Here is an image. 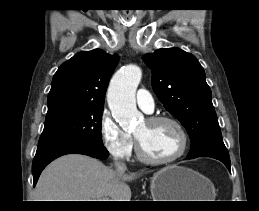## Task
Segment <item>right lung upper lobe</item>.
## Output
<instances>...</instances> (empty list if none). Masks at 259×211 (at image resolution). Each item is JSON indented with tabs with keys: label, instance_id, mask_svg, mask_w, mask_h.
Segmentation results:
<instances>
[{
	"label": "right lung upper lobe",
	"instance_id": "right-lung-upper-lobe-1",
	"mask_svg": "<svg viewBox=\"0 0 259 211\" xmlns=\"http://www.w3.org/2000/svg\"><path fill=\"white\" fill-rule=\"evenodd\" d=\"M117 62L116 54L101 49L77 53L64 62L52 80L46 121L83 108L103 107Z\"/></svg>",
	"mask_w": 259,
	"mask_h": 211
}]
</instances>
